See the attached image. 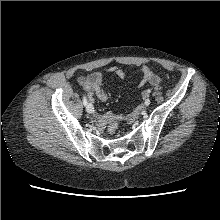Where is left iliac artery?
<instances>
[{"label":"left iliac artery","mask_w":220,"mask_h":220,"mask_svg":"<svg viewBox=\"0 0 220 220\" xmlns=\"http://www.w3.org/2000/svg\"><path fill=\"white\" fill-rule=\"evenodd\" d=\"M150 92H151V89H148V90H147V93L149 94ZM145 104H146V105H149V104H150V100H149V99H146V100H145Z\"/></svg>","instance_id":"44dca946"}]
</instances>
